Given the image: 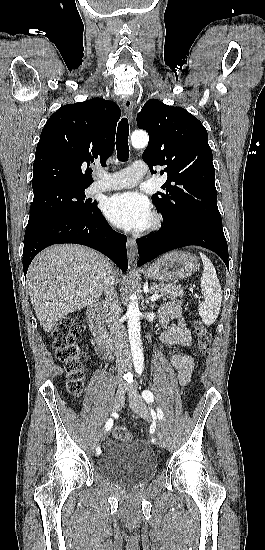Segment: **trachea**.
I'll list each match as a JSON object with an SVG mask.
<instances>
[{"label":"trachea","instance_id":"3493384b","mask_svg":"<svg viewBox=\"0 0 265 550\" xmlns=\"http://www.w3.org/2000/svg\"><path fill=\"white\" fill-rule=\"evenodd\" d=\"M129 124L127 118H122L118 124L116 135L117 157L120 162H125L129 157Z\"/></svg>","mask_w":265,"mask_h":550}]
</instances>
